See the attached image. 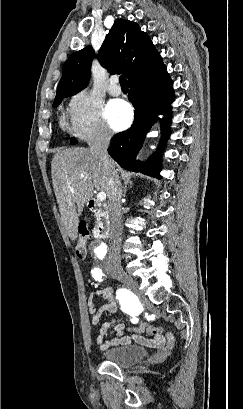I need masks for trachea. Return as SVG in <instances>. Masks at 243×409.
Masks as SVG:
<instances>
[{
	"instance_id": "3493384b",
	"label": "trachea",
	"mask_w": 243,
	"mask_h": 409,
	"mask_svg": "<svg viewBox=\"0 0 243 409\" xmlns=\"http://www.w3.org/2000/svg\"><path fill=\"white\" fill-rule=\"evenodd\" d=\"M119 82H120L121 87H128V83H127V79H126L125 74H122L119 77Z\"/></svg>"
}]
</instances>
